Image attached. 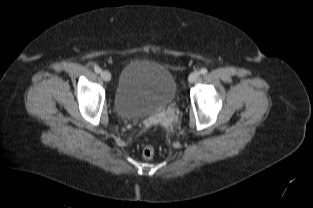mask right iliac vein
<instances>
[{
	"mask_svg": "<svg viewBox=\"0 0 313 208\" xmlns=\"http://www.w3.org/2000/svg\"><path fill=\"white\" fill-rule=\"evenodd\" d=\"M101 77H102V79H103L104 81L108 82V81L111 80V73H110L109 71H107V70H103V71L101 72Z\"/></svg>",
	"mask_w": 313,
	"mask_h": 208,
	"instance_id": "1",
	"label": "right iliac vein"
}]
</instances>
